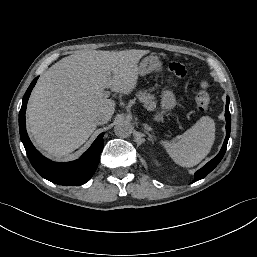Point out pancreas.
<instances>
[{
    "label": "pancreas",
    "mask_w": 257,
    "mask_h": 257,
    "mask_svg": "<svg viewBox=\"0 0 257 257\" xmlns=\"http://www.w3.org/2000/svg\"><path fill=\"white\" fill-rule=\"evenodd\" d=\"M136 96L147 110L153 111L156 108L155 97L147 91H139Z\"/></svg>",
    "instance_id": "pancreas-1"
}]
</instances>
